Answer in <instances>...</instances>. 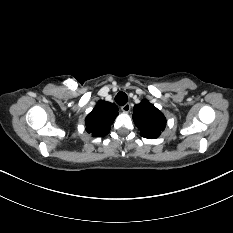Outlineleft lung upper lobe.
Here are the masks:
<instances>
[{"mask_svg":"<svg viewBox=\"0 0 233 233\" xmlns=\"http://www.w3.org/2000/svg\"><path fill=\"white\" fill-rule=\"evenodd\" d=\"M133 120L140 130L141 136L149 139L159 137L166 125L163 113L147 100L134 106Z\"/></svg>","mask_w":233,"mask_h":233,"instance_id":"obj_1","label":"left lung upper lobe"}]
</instances>
